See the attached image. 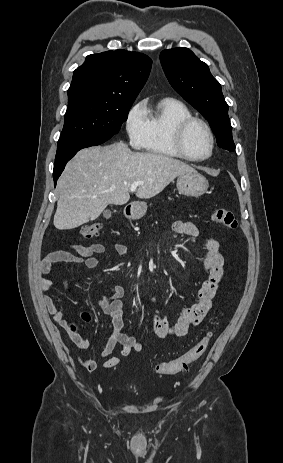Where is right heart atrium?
Segmentation results:
<instances>
[{
	"label": "right heart atrium",
	"mask_w": 283,
	"mask_h": 463,
	"mask_svg": "<svg viewBox=\"0 0 283 463\" xmlns=\"http://www.w3.org/2000/svg\"><path fill=\"white\" fill-rule=\"evenodd\" d=\"M125 129L131 146L143 147L147 132L146 106L143 101L136 103L129 110L125 120Z\"/></svg>",
	"instance_id": "obj_1"
}]
</instances>
